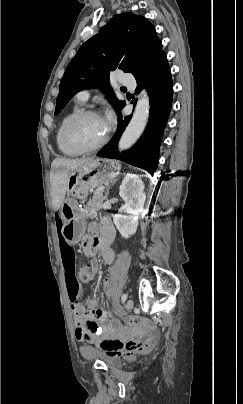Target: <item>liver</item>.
I'll return each mask as SVG.
<instances>
[{"instance_id": "obj_1", "label": "liver", "mask_w": 243, "mask_h": 404, "mask_svg": "<svg viewBox=\"0 0 243 404\" xmlns=\"http://www.w3.org/2000/svg\"><path fill=\"white\" fill-rule=\"evenodd\" d=\"M94 158H76V160H70V158H55L51 164L50 170V184H51V200L54 210H59L67 190V178L70 170L79 168V166H85L90 164Z\"/></svg>"}]
</instances>
